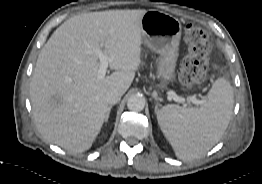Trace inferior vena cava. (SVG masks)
<instances>
[{"instance_id": "obj_1", "label": "inferior vena cava", "mask_w": 262, "mask_h": 184, "mask_svg": "<svg viewBox=\"0 0 262 184\" xmlns=\"http://www.w3.org/2000/svg\"><path fill=\"white\" fill-rule=\"evenodd\" d=\"M121 97V94L118 90L113 89L107 92L106 94V102L108 104H116Z\"/></svg>"}]
</instances>
